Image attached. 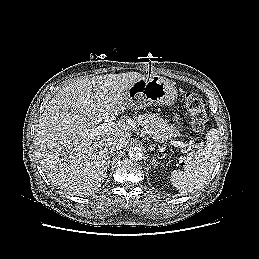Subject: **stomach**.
<instances>
[{"label": "stomach", "mask_w": 259, "mask_h": 259, "mask_svg": "<svg viewBox=\"0 0 259 259\" xmlns=\"http://www.w3.org/2000/svg\"><path fill=\"white\" fill-rule=\"evenodd\" d=\"M125 101L131 109H143L149 105H173L177 98V90L170 80L158 76L143 77L134 82L124 93ZM178 126L176 129L183 130L180 126V118L175 117Z\"/></svg>", "instance_id": "1"}]
</instances>
